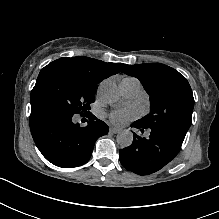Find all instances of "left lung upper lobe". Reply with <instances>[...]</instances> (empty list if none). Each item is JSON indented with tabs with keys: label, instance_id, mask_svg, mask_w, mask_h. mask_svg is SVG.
I'll return each mask as SVG.
<instances>
[{
	"label": "left lung upper lobe",
	"instance_id": "left-lung-upper-lobe-1",
	"mask_svg": "<svg viewBox=\"0 0 219 219\" xmlns=\"http://www.w3.org/2000/svg\"><path fill=\"white\" fill-rule=\"evenodd\" d=\"M122 72L139 79L150 96V113L137 121L147 128L168 130L185 137L194 107L187 79L177 70L157 63L125 65Z\"/></svg>",
	"mask_w": 219,
	"mask_h": 219
}]
</instances>
